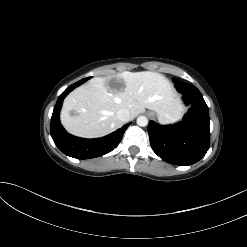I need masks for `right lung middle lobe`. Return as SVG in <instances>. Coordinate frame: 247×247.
Wrapping results in <instances>:
<instances>
[{
  "instance_id": "1",
  "label": "right lung middle lobe",
  "mask_w": 247,
  "mask_h": 247,
  "mask_svg": "<svg viewBox=\"0 0 247 247\" xmlns=\"http://www.w3.org/2000/svg\"><path fill=\"white\" fill-rule=\"evenodd\" d=\"M90 77L84 78L85 80H88Z\"/></svg>"
}]
</instances>
